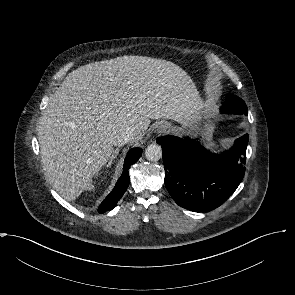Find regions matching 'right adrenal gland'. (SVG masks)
Returning <instances> with one entry per match:
<instances>
[{
    "label": "right adrenal gland",
    "mask_w": 295,
    "mask_h": 295,
    "mask_svg": "<svg viewBox=\"0 0 295 295\" xmlns=\"http://www.w3.org/2000/svg\"><path fill=\"white\" fill-rule=\"evenodd\" d=\"M119 151H120V149L117 148V149L113 152L112 157H111V159L109 160L107 166H110V165L112 164V161L116 158V156L118 155Z\"/></svg>",
    "instance_id": "1"
}]
</instances>
